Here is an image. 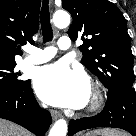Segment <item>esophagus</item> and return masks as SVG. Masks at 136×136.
Masks as SVG:
<instances>
[{
  "label": "esophagus",
  "mask_w": 136,
  "mask_h": 136,
  "mask_svg": "<svg viewBox=\"0 0 136 136\" xmlns=\"http://www.w3.org/2000/svg\"><path fill=\"white\" fill-rule=\"evenodd\" d=\"M49 5H50V7L53 6V0H49ZM51 116H52L53 120H56L60 117V113L57 112L56 110H51Z\"/></svg>",
  "instance_id": "34e87169"
}]
</instances>
